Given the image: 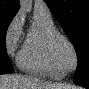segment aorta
Here are the masks:
<instances>
[{
	"label": "aorta",
	"mask_w": 89,
	"mask_h": 89,
	"mask_svg": "<svg viewBox=\"0 0 89 89\" xmlns=\"http://www.w3.org/2000/svg\"><path fill=\"white\" fill-rule=\"evenodd\" d=\"M20 5H21V9L26 10V11H31L32 0H21Z\"/></svg>",
	"instance_id": "1"
}]
</instances>
